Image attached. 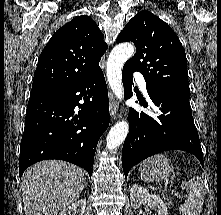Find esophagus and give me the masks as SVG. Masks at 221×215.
<instances>
[{
	"mask_svg": "<svg viewBox=\"0 0 221 215\" xmlns=\"http://www.w3.org/2000/svg\"><path fill=\"white\" fill-rule=\"evenodd\" d=\"M109 110L111 117L116 118L118 115V102L111 92H109Z\"/></svg>",
	"mask_w": 221,
	"mask_h": 215,
	"instance_id": "1",
	"label": "esophagus"
}]
</instances>
